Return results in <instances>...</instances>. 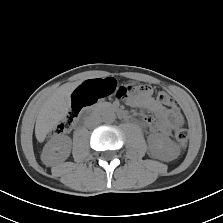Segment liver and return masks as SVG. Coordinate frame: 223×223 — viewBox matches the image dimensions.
Returning a JSON list of instances; mask_svg holds the SVG:
<instances>
[{
    "mask_svg": "<svg viewBox=\"0 0 223 223\" xmlns=\"http://www.w3.org/2000/svg\"><path fill=\"white\" fill-rule=\"evenodd\" d=\"M79 84L74 82L62 85L43 103L35 125L38 142H43L47 134L67 116L71 107V93Z\"/></svg>",
    "mask_w": 223,
    "mask_h": 223,
    "instance_id": "liver-1",
    "label": "liver"
}]
</instances>
